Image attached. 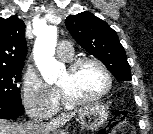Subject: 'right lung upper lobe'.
I'll return each instance as SVG.
<instances>
[{
    "label": "right lung upper lobe",
    "instance_id": "1",
    "mask_svg": "<svg viewBox=\"0 0 153 134\" xmlns=\"http://www.w3.org/2000/svg\"><path fill=\"white\" fill-rule=\"evenodd\" d=\"M26 54L24 22L16 16L0 18V67H22Z\"/></svg>",
    "mask_w": 153,
    "mask_h": 134
}]
</instances>
